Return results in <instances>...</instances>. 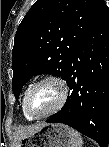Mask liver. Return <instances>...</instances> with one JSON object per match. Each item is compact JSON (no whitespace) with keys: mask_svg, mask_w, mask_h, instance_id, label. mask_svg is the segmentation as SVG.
<instances>
[{"mask_svg":"<svg viewBox=\"0 0 109 147\" xmlns=\"http://www.w3.org/2000/svg\"><path fill=\"white\" fill-rule=\"evenodd\" d=\"M45 125H46V123H40V124H35V125H31L28 127H22L20 129H18L14 135L15 147H20V141L24 137L38 131L40 128H42Z\"/></svg>","mask_w":109,"mask_h":147,"instance_id":"liver-1","label":"liver"}]
</instances>
